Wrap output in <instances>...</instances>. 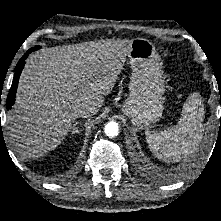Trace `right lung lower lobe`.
<instances>
[{
    "label": "right lung lower lobe",
    "mask_w": 221,
    "mask_h": 221,
    "mask_svg": "<svg viewBox=\"0 0 221 221\" xmlns=\"http://www.w3.org/2000/svg\"><path fill=\"white\" fill-rule=\"evenodd\" d=\"M40 49V46L37 47H33L31 49H29L23 56L22 58L19 60V62L16 65V69H15V74H14V78H13V82H12V86L10 88L8 97H7V109H10L11 106L14 104L15 102V96H16V90H17V85H18V81H19V76L21 74V71L24 67L25 64V59L28 57V55L33 52Z\"/></svg>",
    "instance_id": "98d812e1"
}]
</instances>
